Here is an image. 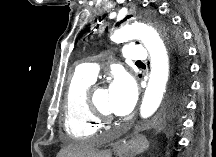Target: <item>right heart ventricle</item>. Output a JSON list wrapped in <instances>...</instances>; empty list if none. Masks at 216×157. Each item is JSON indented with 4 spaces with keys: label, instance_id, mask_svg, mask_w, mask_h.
Segmentation results:
<instances>
[{
    "label": "right heart ventricle",
    "instance_id": "right-heart-ventricle-1",
    "mask_svg": "<svg viewBox=\"0 0 216 157\" xmlns=\"http://www.w3.org/2000/svg\"><path fill=\"white\" fill-rule=\"evenodd\" d=\"M93 82L77 72L68 81L63 99V127L71 137H90L99 127V120L93 115L88 102V91Z\"/></svg>",
    "mask_w": 216,
    "mask_h": 157
}]
</instances>
